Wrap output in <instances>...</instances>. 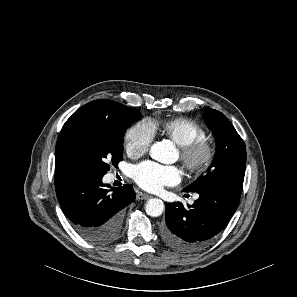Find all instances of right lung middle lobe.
<instances>
[{
    "label": "right lung middle lobe",
    "mask_w": 297,
    "mask_h": 297,
    "mask_svg": "<svg viewBox=\"0 0 297 297\" xmlns=\"http://www.w3.org/2000/svg\"><path fill=\"white\" fill-rule=\"evenodd\" d=\"M120 121L106 126L89 122L72 124L61 139L58 148L63 169H80L104 176L110 165L123 160V142L126 129L140 119L141 113L120 104Z\"/></svg>",
    "instance_id": "right-lung-middle-lobe-1"
}]
</instances>
